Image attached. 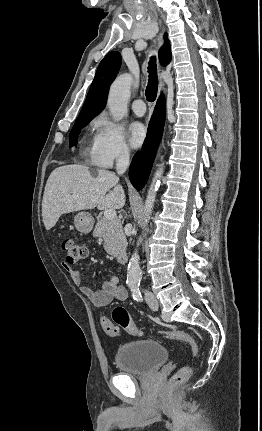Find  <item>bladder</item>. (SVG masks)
Listing matches in <instances>:
<instances>
[{
    "mask_svg": "<svg viewBox=\"0 0 262 431\" xmlns=\"http://www.w3.org/2000/svg\"><path fill=\"white\" fill-rule=\"evenodd\" d=\"M168 359L166 347L157 341L138 339L121 346L115 356L119 371L146 375L158 370Z\"/></svg>",
    "mask_w": 262,
    "mask_h": 431,
    "instance_id": "obj_1",
    "label": "bladder"
}]
</instances>
